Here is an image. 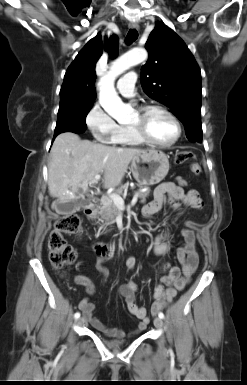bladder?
<instances>
[{
    "instance_id": "bladder-1",
    "label": "bladder",
    "mask_w": 247,
    "mask_h": 385,
    "mask_svg": "<svg viewBox=\"0 0 247 385\" xmlns=\"http://www.w3.org/2000/svg\"><path fill=\"white\" fill-rule=\"evenodd\" d=\"M121 342L120 341H114V342H111L110 345L114 346V345H119Z\"/></svg>"
}]
</instances>
